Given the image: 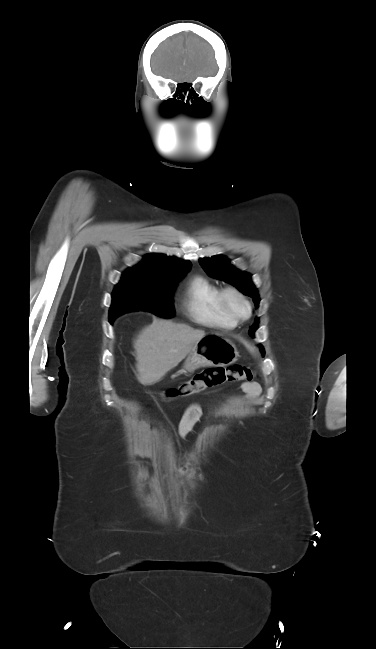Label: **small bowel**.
Returning a JSON list of instances; mask_svg holds the SVG:
<instances>
[{"instance_id":"1","label":"small bowel","mask_w":376,"mask_h":649,"mask_svg":"<svg viewBox=\"0 0 376 649\" xmlns=\"http://www.w3.org/2000/svg\"><path fill=\"white\" fill-rule=\"evenodd\" d=\"M242 390L250 400L257 399L261 394V387L256 382L243 383ZM201 415L202 409L198 403H191L186 407L178 428L179 435L182 438L188 437Z\"/></svg>"}]
</instances>
